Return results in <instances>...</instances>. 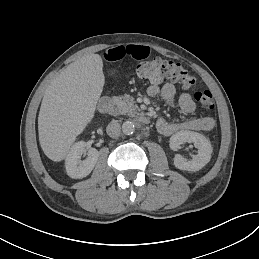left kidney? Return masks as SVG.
<instances>
[{
	"mask_svg": "<svg viewBox=\"0 0 259 259\" xmlns=\"http://www.w3.org/2000/svg\"><path fill=\"white\" fill-rule=\"evenodd\" d=\"M186 142L194 143V146L198 149V154L190 161L183 158L180 154H176L174 157V165L180 170L198 171L211 159L213 151L211 143L200 133L183 130L171 136L169 145L173 151H177L180 145Z\"/></svg>",
	"mask_w": 259,
	"mask_h": 259,
	"instance_id": "1",
	"label": "left kidney"
}]
</instances>
